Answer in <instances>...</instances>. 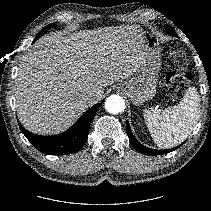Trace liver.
<instances>
[{
  "label": "liver",
  "instance_id": "liver-1",
  "mask_svg": "<svg viewBox=\"0 0 211 211\" xmlns=\"http://www.w3.org/2000/svg\"><path fill=\"white\" fill-rule=\"evenodd\" d=\"M143 34L134 26L51 33L23 55L15 79L17 114L24 128L53 135L70 128L99 100L104 87L131 77L142 57Z\"/></svg>",
  "mask_w": 211,
  "mask_h": 211
}]
</instances>
